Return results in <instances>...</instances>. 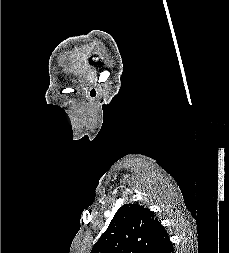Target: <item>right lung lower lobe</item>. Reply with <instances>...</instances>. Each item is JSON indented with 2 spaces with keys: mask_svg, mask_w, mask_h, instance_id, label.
Wrapping results in <instances>:
<instances>
[{
  "mask_svg": "<svg viewBox=\"0 0 229 253\" xmlns=\"http://www.w3.org/2000/svg\"><path fill=\"white\" fill-rule=\"evenodd\" d=\"M160 253H174V248L172 242H170L166 247H164Z\"/></svg>",
  "mask_w": 229,
  "mask_h": 253,
  "instance_id": "right-lung-lower-lobe-1",
  "label": "right lung lower lobe"
}]
</instances>
